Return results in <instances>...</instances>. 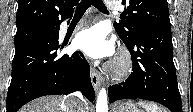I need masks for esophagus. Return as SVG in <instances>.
I'll use <instances>...</instances> for the list:
<instances>
[{"instance_id":"obj_1","label":"esophagus","mask_w":193,"mask_h":112,"mask_svg":"<svg viewBox=\"0 0 193 112\" xmlns=\"http://www.w3.org/2000/svg\"><path fill=\"white\" fill-rule=\"evenodd\" d=\"M91 81H92L94 90L97 92L101 84V76L94 68H91Z\"/></svg>"}]
</instances>
